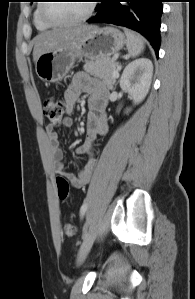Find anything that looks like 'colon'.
Here are the masks:
<instances>
[{"instance_id":"obj_1","label":"colon","mask_w":195,"mask_h":299,"mask_svg":"<svg viewBox=\"0 0 195 299\" xmlns=\"http://www.w3.org/2000/svg\"><path fill=\"white\" fill-rule=\"evenodd\" d=\"M42 110L43 114L53 125H59L62 122L66 105L61 99L48 98L44 100ZM56 186L59 199L61 201L67 200L69 196L68 181L64 177L59 176L56 180ZM63 231L67 237H71L76 233V226L72 223H66Z\"/></svg>"}]
</instances>
